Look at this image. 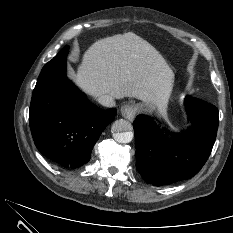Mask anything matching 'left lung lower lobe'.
I'll return each instance as SVG.
<instances>
[{
	"label": "left lung lower lobe",
	"mask_w": 233,
	"mask_h": 233,
	"mask_svg": "<svg viewBox=\"0 0 233 233\" xmlns=\"http://www.w3.org/2000/svg\"><path fill=\"white\" fill-rule=\"evenodd\" d=\"M184 102L192 126L171 140L148 117L140 115L134 121L136 168L152 185L193 177L211 154L218 128V109L191 96Z\"/></svg>",
	"instance_id": "0a47b994"
}]
</instances>
